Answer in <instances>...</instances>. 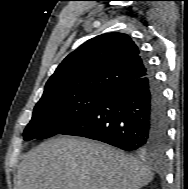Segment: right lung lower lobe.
<instances>
[{
	"instance_id": "98d812e1",
	"label": "right lung lower lobe",
	"mask_w": 188,
	"mask_h": 189,
	"mask_svg": "<svg viewBox=\"0 0 188 189\" xmlns=\"http://www.w3.org/2000/svg\"><path fill=\"white\" fill-rule=\"evenodd\" d=\"M106 95L83 119L60 134L102 141L126 151L162 154L168 118L152 70Z\"/></svg>"
}]
</instances>
